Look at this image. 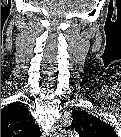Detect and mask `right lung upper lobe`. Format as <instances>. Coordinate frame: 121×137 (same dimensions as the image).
<instances>
[{
    "instance_id": "cb5924a9",
    "label": "right lung upper lobe",
    "mask_w": 121,
    "mask_h": 137,
    "mask_svg": "<svg viewBox=\"0 0 121 137\" xmlns=\"http://www.w3.org/2000/svg\"><path fill=\"white\" fill-rule=\"evenodd\" d=\"M32 116L18 102L1 110V135H30L37 130Z\"/></svg>"
}]
</instances>
